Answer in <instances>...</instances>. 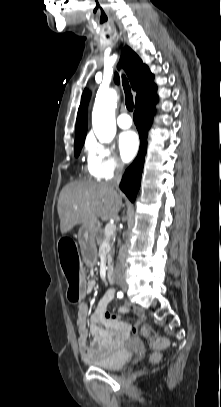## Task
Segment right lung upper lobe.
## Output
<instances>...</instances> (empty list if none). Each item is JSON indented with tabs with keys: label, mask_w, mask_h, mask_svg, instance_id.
I'll use <instances>...</instances> for the list:
<instances>
[{
	"label": "right lung upper lobe",
	"mask_w": 221,
	"mask_h": 407,
	"mask_svg": "<svg viewBox=\"0 0 221 407\" xmlns=\"http://www.w3.org/2000/svg\"><path fill=\"white\" fill-rule=\"evenodd\" d=\"M120 66H123L126 70L132 89L137 92L135 106L155 94L157 88L153 82L154 75L143 64L137 54L127 46L122 50L118 68ZM115 82H119L118 74H115ZM87 96L88 92L85 90L81 97V104L77 115L75 143L84 142L85 140L87 131Z\"/></svg>",
	"instance_id": "obj_1"
}]
</instances>
